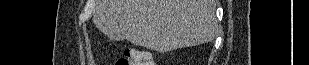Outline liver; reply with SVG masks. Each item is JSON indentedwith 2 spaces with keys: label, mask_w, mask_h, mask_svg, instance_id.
Instances as JSON below:
<instances>
[{
  "label": "liver",
  "mask_w": 309,
  "mask_h": 65,
  "mask_svg": "<svg viewBox=\"0 0 309 65\" xmlns=\"http://www.w3.org/2000/svg\"><path fill=\"white\" fill-rule=\"evenodd\" d=\"M215 0H95L93 23L110 40L161 53L212 41Z\"/></svg>",
  "instance_id": "liver-1"
}]
</instances>
